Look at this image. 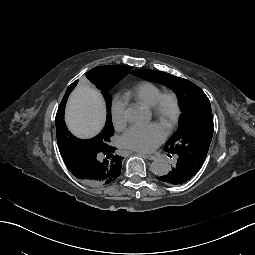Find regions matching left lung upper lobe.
Instances as JSON below:
<instances>
[{"instance_id":"obj_1","label":"left lung upper lobe","mask_w":255,"mask_h":255,"mask_svg":"<svg viewBox=\"0 0 255 255\" xmlns=\"http://www.w3.org/2000/svg\"><path fill=\"white\" fill-rule=\"evenodd\" d=\"M131 73L163 84L177 94L183 113L178 130L167 141L164 151L169 157L172 154L179 161L192 165L197 173L207 156L214 131L208 97L194 83L165 72L144 69Z\"/></svg>"}]
</instances>
